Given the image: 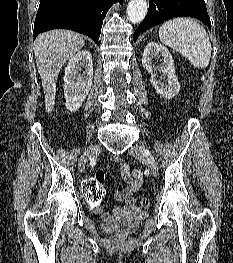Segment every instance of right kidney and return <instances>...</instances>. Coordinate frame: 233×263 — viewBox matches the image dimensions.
Returning <instances> with one entry per match:
<instances>
[{
    "label": "right kidney",
    "instance_id": "obj_1",
    "mask_svg": "<svg viewBox=\"0 0 233 263\" xmlns=\"http://www.w3.org/2000/svg\"><path fill=\"white\" fill-rule=\"evenodd\" d=\"M84 69L83 73H79ZM93 80L92 55L82 50L70 58L64 76L65 106L70 112H76L84 102Z\"/></svg>",
    "mask_w": 233,
    "mask_h": 263
}]
</instances>
